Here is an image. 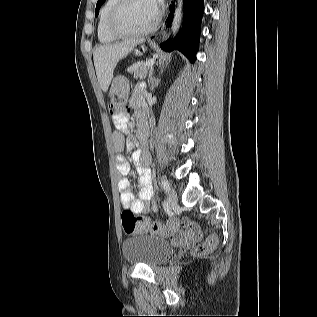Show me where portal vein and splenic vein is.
I'll list each match as a JSON object with an SVG mask.
<instances>
[{
  "mask_svg": "<svg viewBox=\"0 0 317 317\" xmlns=\"http://www.w3.org/2000/svg\"><path fill=\"white\" fill-rule=\"evenodd\" d=\"M154 64V60H150L148 62H146V66H152Z\"/></svg>",
  "mask_w": 317,
  "mask_h": 317,
  "instance_id": "obj_1",
  "label": "portal vein and splenic vein"
}]
</instances>
